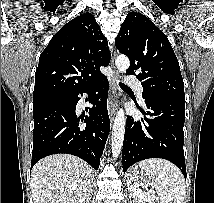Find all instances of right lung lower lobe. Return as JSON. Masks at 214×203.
I'll return each mask as SVG.
<instances>
[{
  "label": "right lung lower lobe",
  "mask_w": 214,
  "mask_h": 203,
  "mask_svg": "<svg viewBox=\"0 0 214 203\" xmlns=\"http://www.w3.org/2000/svg\"><path fill=\"white\" fill-rule=\"evenodd\" d=\"M109 83L101 75L87 85L46 98L33 107L34 133L31 168L41 158L66 153L98 169L110 130L107 111ZM90 95L89 116L76 115L79 94ZM85 124H80L79 121Z\"/></svg>",
  "instance_id": "1"
}]
</instances>
